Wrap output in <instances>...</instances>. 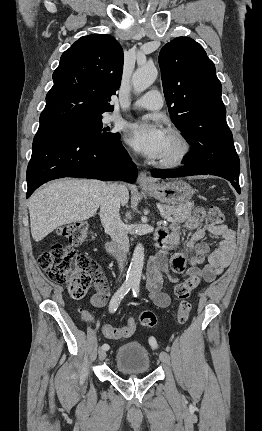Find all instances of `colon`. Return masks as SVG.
<instances>
[{"label":"colon","mask_w":262,"mask_h":431,"mask_svg":"<svg viewBox=\"0 0 262 431\" xmlns=\"http://www.w3.org/2000/svg\"><path fill=\"white\" fill-rule=\"evenodd\" d=\"M224 213L218 207L208 210L207 223L213 226L224 225ZM91 230L85 224H72L61 230L64 242L53 244L49 249L38 256V264L46 277L54 283L66 286L68 293L75 300L83 299L91 285L93 278L100 277V270L94 260L79 255L74 247L83 245L91 237ZM200 282V276L193 275L181 281L175 287V295L179 299L177 317L178 322L185 324L188 321L192 303L191 293ZM139 323L148 328L157 324L156 315L151 311H144L139 317ZM137 328L134 320H129L121 327L106 326L103 328L104 336L119 340L131 337ZM155 345L154 342H152Z\"/></svg>","instance_id":"5ec220e1"}]
</instances>
